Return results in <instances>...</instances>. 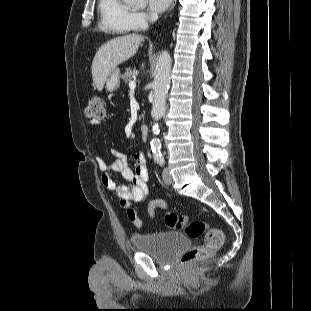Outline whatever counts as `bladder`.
I'll return each instance as SVG.
<instances>
[{"mask_svg":"<svg viewBox=\"0 0 311 311\" xmlns=\"http://www.w3.org/2000/svg\"><path fill=\"white\" fill-rule=\"evenodd\" d=\"M138 252L152 254L160 261H172L180 252L190 246L188 237L180 232L135 233L130 238Z\"/></svg>","mask_w":311,"mask_h":311,"instance_id":"bladder-1","label":"bladder"}]
</instances>
